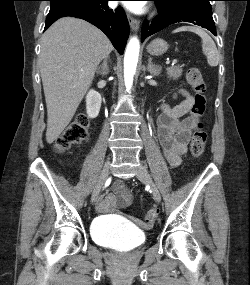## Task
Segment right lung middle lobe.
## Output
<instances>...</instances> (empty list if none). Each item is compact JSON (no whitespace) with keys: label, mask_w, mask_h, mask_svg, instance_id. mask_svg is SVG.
<instances>
[{"label":"right lung middle lobe","mask_w":250,"mask_h":285,"mask_svg":"<svg viewBox=\"0 0 250 285\" xmlns=\"http://www.w3.org/2000/svg\"><path fill=\"white\" fill-rule=\"evenodd\" d=\"M50 1H51L50 10H54L67 5L88 3L92 0H50Z\"/></svg>","instance_id":"1"}]
</instances>
